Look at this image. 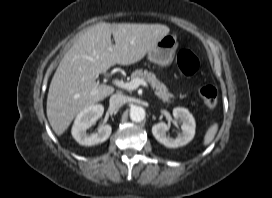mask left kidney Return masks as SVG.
I'll use <instances>...</instances> for the list:
<instances>
[{"instance_id": "5707ae66", "label": "left kidney", "mask_w": 272, "mask_h": 198, "mask_svg": "<svg viewBox=\"0 0 272 198\" xmlns=\"http://www.w3.org/2000/svg\"><path fill=\"white\" fill-rule=\"evenodd\" d=\"M173 116L179 120L182 132L176 138L167 136L168 126L164 122L157 123L152 127V134L155 139L168 148H177L189 143L195 135V120L186 108L177 107L173 109Z\"/></svg>"}]
</instances>
